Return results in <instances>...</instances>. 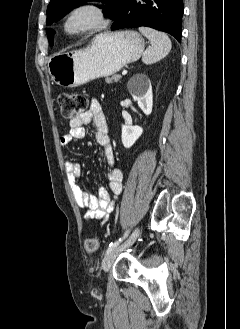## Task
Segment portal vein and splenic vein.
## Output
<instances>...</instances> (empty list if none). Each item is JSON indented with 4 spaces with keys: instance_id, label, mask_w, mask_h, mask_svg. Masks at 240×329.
I'll return each instance as SVG.
<instances>
[{
    "instance_id": "obj_1",
    "label": "portal vein and splenic vein",
    "mask_w": 240,
    "mask_h": 329,
    "mask_svg": "<svg viewBox=\"0 0 240 329\" xmlns=\"http://www.w3.org/2000/svg\"><path fill=\"white\" fill-rule=\"evenodd\" d=\"M127 74V70L122 71V76H125Z\"/></svg>"
}]
</instances>
